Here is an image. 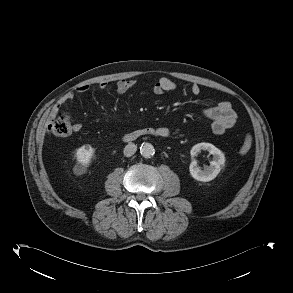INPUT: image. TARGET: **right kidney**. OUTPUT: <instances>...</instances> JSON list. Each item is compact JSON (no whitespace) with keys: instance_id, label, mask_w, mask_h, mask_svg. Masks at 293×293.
Segmentation results:
<instances>
[{"instance_id":"right-kidney-1","label":"right kidney","mask_w":293,"mask_h":293,"mask_svg":"<svg viewBox=\"0 0 293 293\" xmlns=\"http://www.w3.org/2000/svg\"><path fill=\"white\" fill-rule=\"evenodd\" d=\"M94 155V149L90 145H83L76 150L75 157L77 164L74 167L76 175H82L86 172Z\"/></svg>"}]
</instances>
